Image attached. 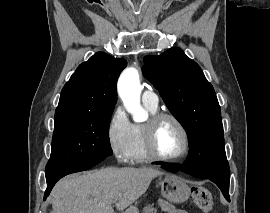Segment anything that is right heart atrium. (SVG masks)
<instances>
[{"label":"right heart atrium","instance_id":"obj_1","mask_svg":"<svg viewBox=\"0 0 270 213\" xmlns=\"http://www.w3.org/2000/svg\"><path fill=\"white\" fill-rule=\"evenodd\" d=\"M107 139L116 159L120 162L128 161L132 141V124L120 106L116 107L111 115L107 128Z\"/></svg>","mask_w":270,"mask_h":213}]
</instances>
